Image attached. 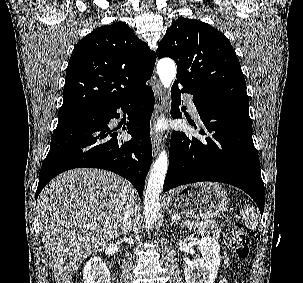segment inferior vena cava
Masks as SVG:
<instances>
[{
	"instance_id": "1",
	"label": "inferior vena cava",
	"mask_w": 303,
	"mask_h": 283,
	"mask_svg": "<svg viewBox=\"0 0 303 283\" xmlns=\"http://www.w3.org/2000/svg\"><path fill=\"white\" fill-rule=\"evenodd\" d=\"M123 196H124V213L122 218V233H126L132 227V213H133V197L130 194L129 185L125 184L123 189Z\"/></svg>"
}]
</instances>
